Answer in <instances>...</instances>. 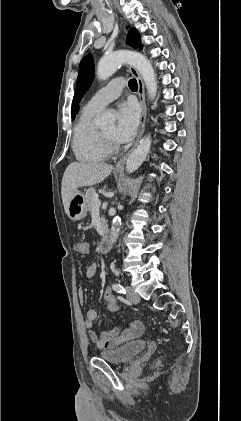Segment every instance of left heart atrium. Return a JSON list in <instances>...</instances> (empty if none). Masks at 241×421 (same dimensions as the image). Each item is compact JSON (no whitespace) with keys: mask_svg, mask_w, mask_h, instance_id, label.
Here are the masks:
<instances>
[{"mask_svg":"<svg viewBox=\"0 0 241 421\" xmlns=\"http://www.w3.org/2000/svg\"><path fill=\"white\" fill-rule=\"evenodd\" d=\"M139 125V109L133 102H123L118 107V120L114 139L127 143L133 139Z\"/></svg>","mask_w":241,"mask_h":421,"instance_id":"39dd6f15","label":"left heart atrium"}]
</instances>
